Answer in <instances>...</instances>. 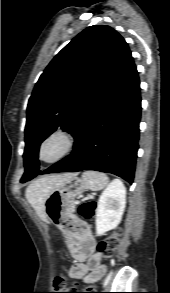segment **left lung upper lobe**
<instances>
[{"instance_id":"left-lung-upper-lobe-1","label":"left lung upper lobe","mask_w":170,"mask_h":293,"mask_svg":"<svg viewBox=\"0 0 170 293\" xmlns=\"http://www.w3.org/2000/svg\"><path fill=\"white\" fill-rule=\"evenodd\" d=\"M130 58L125 40L107 25L86 28L53 58L29 99L21 183L41 172L40 143L59 127L75 137Z\"/></svg>"}]
</instances>
